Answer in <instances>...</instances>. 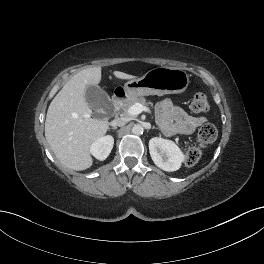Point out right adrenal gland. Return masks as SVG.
Returning <instances> with one entry per match:
<instances>
[{
  "label": "right adrenal gland",
  "mask_w": 264,
  "mask_h": 264,
  "mask_svg": "<svg viewBox=\"0 0 264 264\" xmlns=\"http://www.w3.org/2000/svg\"><path fill=\"white\" fill-rule=\"evenodd\" d=\"M109 129H110V128H109ZM111 129H112V130H116V129H117V127H112Z\"/></svg>",
  "instance_id": "right-adrenal-gland-1"
}]
</instances>
